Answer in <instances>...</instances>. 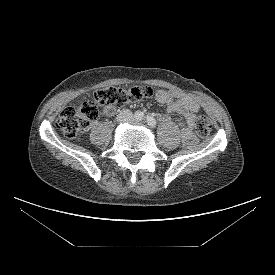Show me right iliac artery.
Returning <instances> with one entry per match:
<instances>
[{
  "instance_id": "1",
  "label": "right iliac artery",
  "mask_w": 275,
  "mask_h": 275,
  "mask_svg": "<svg viewBox=\"0 0 275 275\" xmlns=\"http://www.w3.org/2000/svg\"><path fill=\"white\" fill-rule=\"evenodd\" d=\"M135 118L136 120L141 121L144 118V115L141 111H138L135 113Z\"/></svg>"
}]
</instances>
